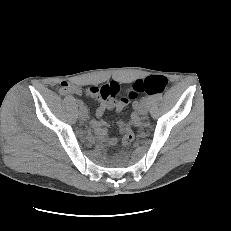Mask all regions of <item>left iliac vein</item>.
<instances>
[{
	"label": "left iliac vein",
	"instance_id": "obj_1",
	"mask_svg": "<svg viewBox=\"0 0 231 231\" xmlns=\"http://www.w3.org/2000/svg\"><path fill=\"white\" fill-rule=\"evenodd\" d=\"M147 112H148V110H147L146 105H145L144 103H142V104L140 105V108H139V113H140L141 115H146Z\"/></svg>",
	"mask_w": 231,
	"mask_h": 231
}]
</instances>
